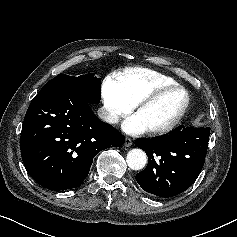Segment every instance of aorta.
<instances>
[{
  "instance_id": "1",
  "label": "aorta",
  "mask_w": 237,
  "mask_h": 237,
  "mask_svg": "<svg viewBox=\"0 0 237 237\" xmlns=\"http://www.w3.org/2000/svg\"><path fill=\"white\" fill-rule=\"evenodd\" d=\"M126 162L132 170H141L147 162L146 153L141 149H132L127 154Z\"/></svg>"
}]
</instances>
